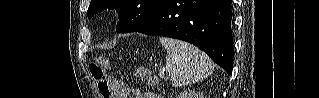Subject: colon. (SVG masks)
I'll return each instance as SVG.
<instances>
[{
	"label": "colon",
	"mask_w": 319,
	"mask_h": 98,
	"mask_svg": "<svg viewBox=\"0 0 319 98\" xmlns=\"http://www.w3.org/2000/svg\"><path fill=\"white\" fill-rule=\"evenodd\" d=\"M107 65L106 60H102L101 64L93 63L89 66L90 73L95 80L98 90L102 98H111L112 90L110 80L106 76L104 66ZM138 78H146L149 86H155L158 82L157 76L146 68H139L136 71Z\"/></svg>",
	"instance_id": "5ec220e1"
}]
</instances>
